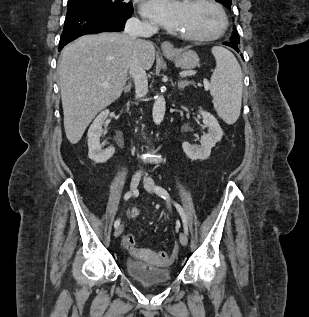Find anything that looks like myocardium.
<instances>
[{"label": "myocardium", "mask_w": 309, "mask_h": 317, "mask_svg": "<svg viewBox=\"0 0 309 317\" xmlns=\"http://www.w3.org/2000/svg\"><path fill=\"white\" fill-rule=\"evenodd\" d=\"M189 2L205 3L212 6L219 15L220 24L218 29L212 34L196 35V34L179 33L180 37L185 40L194 41V42H209V41H214L221 38L227 31L228 24H229L227 14L224 11L221 4L218 3L216 0H189Z\"/></svg>", "instance_id": "1"}]
</instances>
